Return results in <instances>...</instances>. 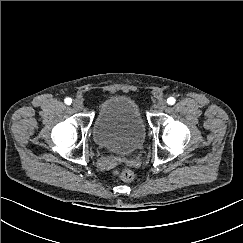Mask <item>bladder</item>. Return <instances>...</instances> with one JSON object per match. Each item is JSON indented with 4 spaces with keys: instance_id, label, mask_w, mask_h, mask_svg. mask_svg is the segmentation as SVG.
Wrapping results in <instances>:
<instances>
[{
    "instance_id": "1",
    "label": "bladder",
    "mask_w": 243,
    "mask_h": 243,
    "mask_svg": "<svg viewBox=\"0 0 243 243\" xmlns=\"http://www.w3.org/2000/svg\"><path fill=\"white\" fill-rule=\"evenodd\" d=\"M94 142L123 152L139 149L146 128L137 103L127 96H111L100 106L92 126Z\"/></svg>"
}]
</instances>
